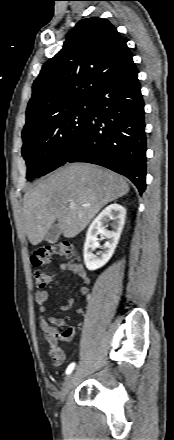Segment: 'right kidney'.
<instances>
[{
    "instance_id": "ca27d5eb",
    "label": "right kidney",
    "mask_w": 174,
    "mask_h": 440,
    "mask_svg": "<svg viewBox=\"0 0 174 440\" xmlns=\"http://www.w3.org/2000/svg\"><path fill=\"white\" fill-rule=\"evenodd\" d=\"M126 209L119 204L107 206L91 223L84 243V263L88 270H96L104 266L112 257L118 244L125 223ZM112 220V230L105 229L103 224ZM102 234L109 241L104 245V252L94 255L92 252L97 244V235Z\"/></svg>"
}]
</instances>
